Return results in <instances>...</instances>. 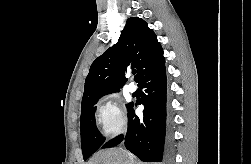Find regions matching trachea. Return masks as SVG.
I'll return each mask as SVG.
<instances>
[{
  "mask_svg": "<svg viewBox=\"0 0 251 164\" xmlns=\"http://www.w3.org/2000/svg\"><path fill=\"white\" fill-rule=\"evenodd\" d=\"M132 73H133V74H136V73H137V71H136V70H133V71H132Z\"/></svg>",
  "mask_w": 251,
  "mask_h": 164,
  "instance_id": "3493384b",
  "label": "trachea"
}]
</instances>
